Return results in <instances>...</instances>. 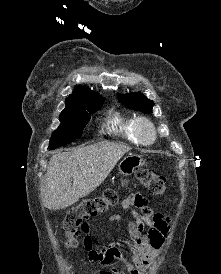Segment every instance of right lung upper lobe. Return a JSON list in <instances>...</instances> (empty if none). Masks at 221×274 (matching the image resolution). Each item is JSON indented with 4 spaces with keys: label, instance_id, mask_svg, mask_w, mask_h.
Instances as JSON below:
<instances>
[{
    "label": "right lung upper lobe",
    "instance_id": "right-lung-upper-lobe-1",
    "mask_svg": "<svg viewBox=\"0 0 221 274\" xmlns=\"http://www.w3.org/2000/svg\"><path fill=\"white\" fill-rule=\"evenodd\" d=\"M95 96H100V95L96 94L95 92L85 87L77 86L74 89L73 94L70 95L68 98H66V103H75L82 98H89V97H95Z\"/></svg>",
    "mask_w": 221,
    "mask_h": 274
}]
</instances>
